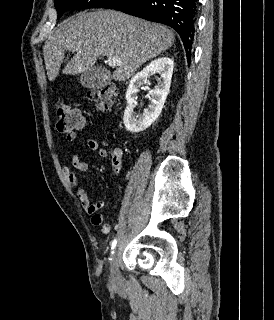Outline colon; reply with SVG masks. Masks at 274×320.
Returning <instances> with one entry per match:
<instances>
[{
    "instance_id": "1",
    "label": "colon",
    "mask_w": 274,
    "mask_h": 320,
    "mask_svg": "<svg viewBox=\"0 0 274 320\" xmlns=\"http://www.w3.org/2000/svg\"><path fill=\"white\" fill-rule=\"evenodd\" d=\"M113 88L103 86L100 90H94L87 93V99L94 102L100 109L106 110L112 105ZM57 117V129L60 133L70 136L76 130L79 120H85L83 114L78 109L70 106L66 102H61L55 107Z\"/></svg>"
}]
</instances>
